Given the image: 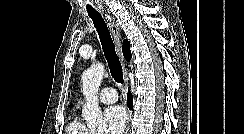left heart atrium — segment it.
<instances>
[{"mask_svg":"<svg viewBox=\"0 0 244 134\" xmlns=\"http://www.w3.org/2000/svg\"><path fill=\"white\" fill-rule=\"evenodd\" d=\"M104 117L109 134H122L127 123V113L122 106L115 105L107 108Z\"/></svg>","mask_w":244,"mask_h":134,"instance_id":"obj_1","label":"left heart atrium"}]
</instances>
